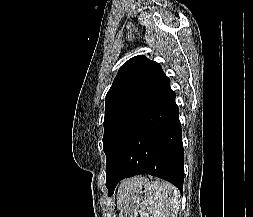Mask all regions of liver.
I'll list each match as a JSON object with an SVG mask.
<instances>
[{"instance_id": "obj_1", "label": "liver", "mask_w": 253, "mask_h": 217, "mask_svg": "<svg viewBox=\"0 0 253 217\" xmlns=\"http://www.w3.org/2000/svg\"><path fill=\"white\" fill-rule=\"evenodd\" d=\"M145 179L142 177H135L131 179L124 180L118 190V201L127 198L133 190L136 188H141Z\"/></svg>"}]
</instances>
